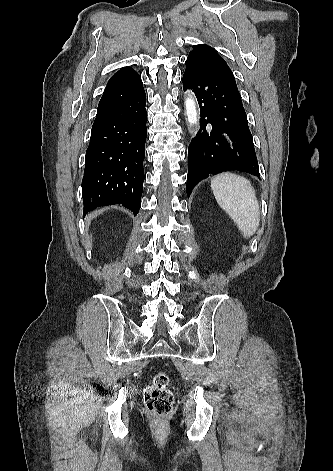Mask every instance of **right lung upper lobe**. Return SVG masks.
Masks as SVG:
<instances>
[{
  "instance_id": "1",
  "label": "right lung upper lobe",
  "mask_w": 333,
  "mask_h": 471,
  "mask_svg": "<svg viewBox=\"0 0 333 471\" xmlns=\"http://www.w3.org/2000/svg\"><path fill=\"white\" fill-rule=\"evenodd\" d=\"M134 73L135 71L131 67H123L111 77L107 83V86L125 83L126 80Z\"/></svg>"
}]
</instances>
